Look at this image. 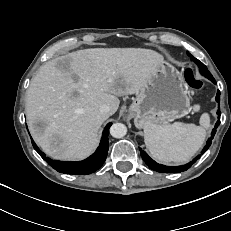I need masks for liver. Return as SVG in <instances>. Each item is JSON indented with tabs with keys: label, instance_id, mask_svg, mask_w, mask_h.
<instances>
[{
	"label": "liver",
	"instance_id": "1",
	"mask_svg": "<svg viewBox=\"0 0 231 231\" xmlns=\"http://www.w3.org/2000/svg\"><path fill=\"white\" fill-rule=\"evenodd\" d=\"M163 62L150 49L92 48L45 63L27 90L26 115L34 140L54 159L88 157L108 118L100 106L109 105L114 114L118 96L137 95ZM37 121L45 123L44 130L36 128Z\"/></svg>",
	"mask_w": 231,
	"mask_h": 231
}]
</instances>
